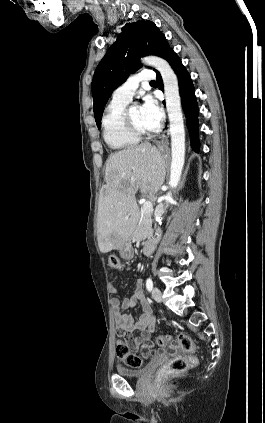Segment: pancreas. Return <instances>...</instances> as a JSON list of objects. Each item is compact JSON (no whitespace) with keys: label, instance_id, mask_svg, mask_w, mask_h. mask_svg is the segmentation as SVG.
<instances>
[{"label":"pancreas","instance_id":"cf45deb5","mask_svg":"<svg viewBox=\"0 0 265 423\" xmlns=\"http://www.w3.org/2000/svg\"><path fill=\"white\" fill-rule=\"evenodd\" d=\"M151 217V213H145L142 211L138 225L136 226L135 231L133 233V237L136 240H143L150 235L152 224Z\"/></svg>","mask_w":265,"mask_h":423}]
</instances>
